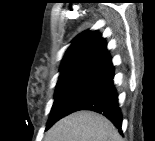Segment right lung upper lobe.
<instances>
[{
  "label": "right lung upper lobe",
  "instance_id": "right-lung-upper-lobe-1",
  "mask_svg": "<svg viewBox=\"0 0 155 141\" xmlns=\"http://www.w3.org/2000/svg\"><path fill=\"white\" fill-rule=\"evenodd\" d=\"M110 58L105 40L97 31H86L77 36L66 51L60 72L74 70L96 71Z\"/></svg>",
  "mask_w": 155,
  "mask_h": 141
}]
</instances>
